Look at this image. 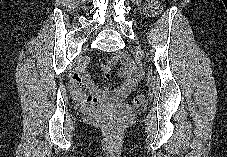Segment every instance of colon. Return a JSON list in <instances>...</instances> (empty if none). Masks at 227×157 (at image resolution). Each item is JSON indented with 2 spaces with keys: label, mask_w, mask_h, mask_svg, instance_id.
Segmentation results:
<instances>
[{
  "label": "colon",
  "mask_w": 227,
  "mask_h": 157,
  "mask_svg": "<svg viewBox=\"0 0 227 157\" xmlns=\"http://www.w3.org/2000/svg\"><path fill=\"white\" fill-rule=\"evenodd\" d=\"M162 11V3L160 0H146V13L150 17H156ZM148 98L145 95H137L133 99V104L137 107L145 106ZM115 123L113 122L112 125Z\"/></svg>",
  "instance_id": "obj_1"
}]
</instances>
